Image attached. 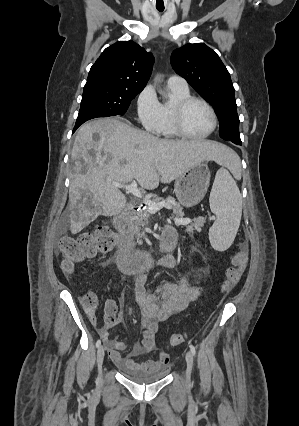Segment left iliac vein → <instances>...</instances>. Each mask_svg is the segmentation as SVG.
<instances>
[{"instance_id":"obj_1","label":"left iliac vein","mask_w":299,"mask_h":426,"mask_svg":"<svg viewBox=\"0 0 299 426\" xmlns=\"http://www.w3.org/2000/svg\"><path fill=\"white\" fill-rule=\"evenodd\" d=\"M186 363H187V369H186V383L187 385L190 384V379H191V372H192V367H193V354L190 351L186 352Z\"/></svg>"}]
</instances>
